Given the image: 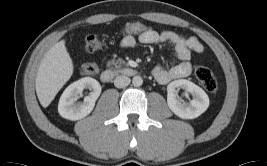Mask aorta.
<instances>
[{
  "mask_svg": "<svg viewBox=\"0 0 267 166\" xmlns=\"http://www.w3.org/2000/svg\"><path fill=\"white\" fill-rule=\"evenodd\" d=\"M132 84L135 87H139L143 84V79L140 76H134L132 79Z\"/></svg>",
  "mask_w": 267,
  "mask_h": 166,
  "instance_id": "762f6f07",
  "label": "aorta"
}]
</instances>
